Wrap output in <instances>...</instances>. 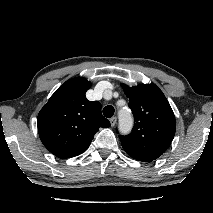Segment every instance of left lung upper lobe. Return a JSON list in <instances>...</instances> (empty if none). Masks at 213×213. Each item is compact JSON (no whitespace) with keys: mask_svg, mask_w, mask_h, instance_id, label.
Listing matches in <instances>:
<instances>
[{"mask_svg":"<svg viewBox=\"0 0 213 213\" xmlns=\"http://www.w3.org/2000/svg\"><path fill=\"white\" fill-rule=\"evenodd\" d=\"M134 115V127L127 135H119L124 150L131 156L154 160L171 144L176 128L174 113L163 92L155 84L135 87L122 85Z\"/></svg>","mask_w":213,"mask_h":213,"instance_id":"left-lung-upper-lobe-1","label":"left lung upper lobe"}]
</instances>
